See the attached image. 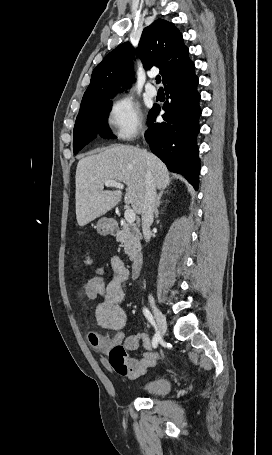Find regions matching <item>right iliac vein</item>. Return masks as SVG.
Segmentation results:
<instances>
[{"mask_svg":"<svg viewBox=\"0 0 272 455\" xmlns=\"http://www.w3.org/2000/svg\"><path fill=\"white\" fill-rule=\"evenodd\" d=\"M151 307L157 322L159 333L163 337L167 331L166 319L161 310L156 306V304L153 301H151Z\"/></svg>","mask_w":272,"mask_h":455,"instance_id":"63e3f726","label":"right iliac vein"}]
</instances>
